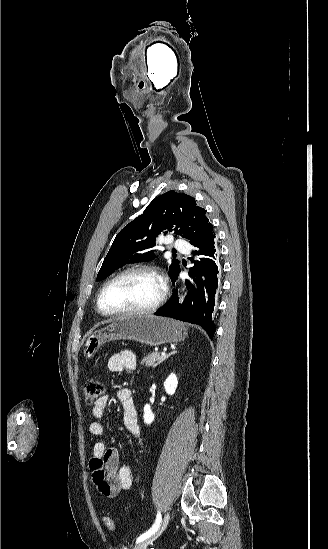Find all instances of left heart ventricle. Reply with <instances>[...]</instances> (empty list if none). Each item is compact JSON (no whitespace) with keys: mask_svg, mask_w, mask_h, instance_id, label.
I'll list each match as a JSON object with an SVG mask.
<instances>
[{"mask_svg":"<svg viewBox=\"0 0 328 549\" xmlns=\"http://www.w3.org/2000/svg\"><path fill=\"white\" fill-rule=\"evenodd\" d=\"M160 283L150 273L131 271L117 279L106 291L105 305L114 311L143 308L159 295Z\"/></svg>","mask_w":328,"mask_h":549,"instance_id":"obj_1","label":"left heart ventricle"}]
</instances>
